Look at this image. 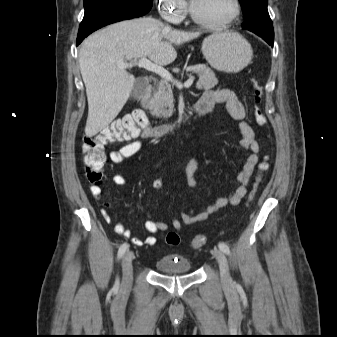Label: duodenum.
<instances>
[{
	"mask_svg": "<svg viewBox=\"0 0 337 337\" xmlns=\"http://www.w3.org/2000/svg\"><path fill=\"white\" fill-rule=\"evenodd\" d=\"M150 92L151 81L148 80L139 98V108L134 111L132 115L134 120L138 123L139 134L141 136L145 138L162 137L177 130L189 120L190 115H186L183 116L181 119H176L165 124L155 126L151 125L146 115V111L150 107ZM210 109V106L202 105L198 102L197 104L192 106L190 114L201 116L209 112Z\"/></svg>",
	"mask_w": 337,
	"mask_h": 337,
	"instance_id": "410a0bca",
	"label": "duodenum"
}]
</instances>
